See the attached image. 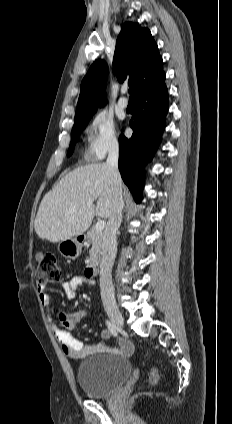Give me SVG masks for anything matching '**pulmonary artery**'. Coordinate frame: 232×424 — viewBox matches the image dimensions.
<instances>
[{
    "label": "pulmonary artery",
    "mask_w": 232,
    "mask_h": 424,
    "mask_svg": "<svg viewBox=\"0 0 232 424\" xmlns=\"http://www.w3.org/2000/svg\"><path fill=\"white\" fill-rule=\"evenodd\" d=\"M125 90H122V96L119 98L118 104L121 108H127L128 107V99L124 96Z\"/></svg>",
    "instance_id": "1"
}]
</instances>
